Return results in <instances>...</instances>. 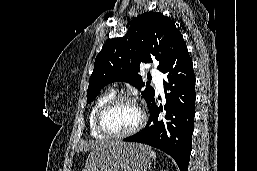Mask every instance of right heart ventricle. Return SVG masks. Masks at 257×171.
Here are the masks:
<instances>
[{
    "label": "right heart ventricle",
    "instance_id": "1",
    "mask_svg": "<svg viewBox=\"0 0 257 171\" xmlns=\"http://www.w3.org/2000/svg\"><path fill=\"white\" fill-rule=\"evenodd\" d=\"M115 96V92L114 91H107L103 94H101L100 96L97 97V99L95 100V102L93 103L89 115H88V125H89V130H90V134L93 138L96 139H106L107 137L104 136L103 134H101L97 128H96V116L97 113L99 111V109L101 108V106L108 101L109 99H111L112 97Z\"/></svg>",
    "mask_w": 257,
    "mask_h": 171
}]
</instances>
